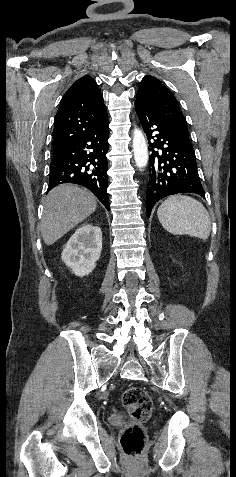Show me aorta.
<instances>
[{
    "instance_id": "762f6f07",
    "label": "aorta",
    "mask_w": 236,
    "mask_h": 477,
    "mask_svg": "<svg viewBox=\"0 0 236 477\" xmlns=\"http://www.w3.org/2000/svg\"><path fill=\"white\" fill-rule=\"evenodd\" d=\"M132 148L136 166L140 169L145 168L148 163V147L143 132L140 129H134Z\"/></svg>"
}]
</instances>
